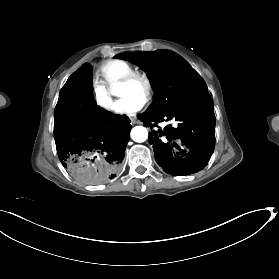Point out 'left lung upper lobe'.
Segmentation results:
<instances>
[{
	"instance_id": "left-lung-upper-lobe-1",
	"label": "left lung upper lobe",
	"mask_w": 279,
	"mask_h": 279,
	"mask_svg": "<svg viewBox=\"0 0 279 279\" xmlns=\"http://www.w3.org/2000/svg\"><path fill=\"white\" fill-rule=\"evenodd\" d=\"M115 58L136 64L148 75L154 90V100L145 113H166L208 93L207 86L191 66L168 51L122 53Z\"/></svg>"
}]
</instances>
